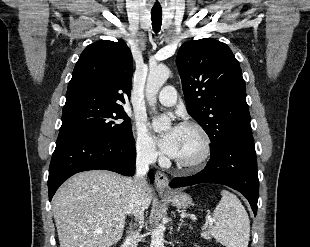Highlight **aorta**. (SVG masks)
Listing matches in <instances>:
<instances>
[{
  "label": "aorta",
  "mask_w": 310,
  "mask_h": 247,
  "mask_svg": "<svg viewBox=\"0 0 310 247\" xmlns=\"http://www.w3.org/2000/svg\"><path fill=\"white\" fill-rule=\"evenodd\" d=\"M170 76V70L166 66H158L150 70L147 83H146V98L149 105L155 110V104L157 102V94L163 84ZM171 124V120L166 115L155 117L152 120L153 130L160 132L167 129ZM164 230L165 226L159 224L152 232L150 247H164Z\"/></svg>",
  "instance_id": "1"
}]
</instances>
